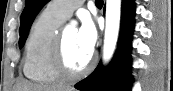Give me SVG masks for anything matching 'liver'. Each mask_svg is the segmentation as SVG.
<instances>
[{
  "label": "liver",
  "instance_id": "obj_1",
  "mask_svg": "<svg viewBox=\"0 0 173 91\" xmlns=\"http://www.w3.org/2000/svg\"><path fill=\"white\" fill-rule=\"evenodd\" d=\"M13 89H14L13 91H75L73 88L70 87L32 84L27 81H21L16 83Z\"/></svg>",
  "mask_w": 173,
  "mask_h": 91
}]
</instances>
